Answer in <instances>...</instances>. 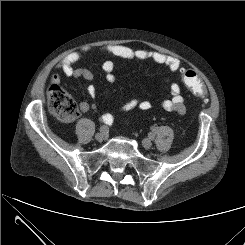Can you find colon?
<instances>
[{"label":"colon","mask_w":245,"mask_h":245,"mask_svg":"<svg viewBox=\"0 0 245 245\" xmlns=\"http://www.w3.org/2000/svg\"><path fill=\"white\" fill-rule=\"evenodd\" d=\"M184 84L197 96L206 99L207 90L202 78L191 69L181 72ZM48 105L50 111L63 121L69 122L79 115V108L73 98L61 87L53 85L48 91Z\"/></svg>","instance_id":"1"}]
</instances>
